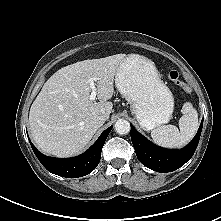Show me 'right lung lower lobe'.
I'll return each mask as SVG.
<instances>
[{
    "instance_id": "obj_1",
    "label": "right lung lower lobe",
    "mask_w": 221,
    "mask_h": 221,
    "mask_svg": "<svg viewBox=\"0 0 221 221\" xmlns=\"http://www.w3.org/2000/svg\"><path fill=\"white\" fill-rule=\"evenodd\" d=\"M113 126L102 132L97 141L82 155L73 158H53L41 154L30 145L41 164L51 173L66 178H78L91 173L98 165L105 140Z\"/></svg>"
}]
</instances>
